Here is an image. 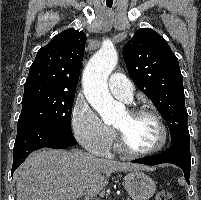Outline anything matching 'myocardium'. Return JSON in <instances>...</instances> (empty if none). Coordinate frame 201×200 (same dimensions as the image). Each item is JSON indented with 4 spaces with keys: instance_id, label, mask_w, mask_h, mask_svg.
<instances>
[{
    "instance_id": "f54148a6",
    "label": "myocardium",
    "mask_w": 201,
    "mask_h": 200,
    "mask_svg": "<svg viewBox=\"0 0 201 200\" xmlns=\"http://www.w3.org/2000/svg\"><path fill=\"white\" fill-rule=\"evenodd\" d=\"M128 114L132 118L142 116V115L150 116L151 118H153L160 128L161 139H160V142L158 143V145L155 146L154 148L144 150V151H138V150L133 149L128 144L126 137H125L124 133L122 132V130L116 128V132H117V136H118V146H119L120 150H122L123 152H125L129 155L138 156V157L150 156V155H154V154L162 151L168 142V129H167L162 117L154 110H151V109H149L147 107H143V106L132 107L131 109L128 110Z\"/></svg>"
}]
</instances>
